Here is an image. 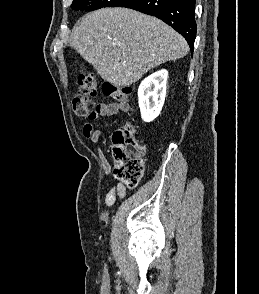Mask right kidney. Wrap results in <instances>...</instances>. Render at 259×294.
I'll use <instances>...</instances> for the list:
<instances>
[{
  "label": "right kidney",
  "instance_id": "1",
  "mask_svg": "<svg viewBox=\"0 0 259 294\" xmlns=\"http://www.w3.org/2000/svg\"><path fill=\"white\" fill-rule=\"evenodd\" d=\"M168 71L159 70L146 77L138 89V100L141 117L145 122H151L161 112L165 97Z\"/></svg>",
  "mask_w": 259,
  "mask_h": 294
}]
</instances>
